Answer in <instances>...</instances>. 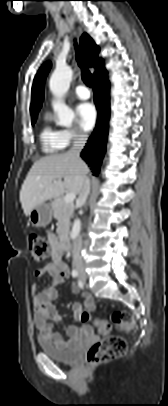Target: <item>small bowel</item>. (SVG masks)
<instances>
[{"label":"small bowel","instance_id":"c3829d8e","mask_svg":"<svg viewBox=\"0 0 168 406\" xmlns=\"http://www.w3.org/2000/svg\"><path fill=\"white\" fill-rule=\"evenodd\" d=\"M49 241L52 244V261L44 267L35 271V276L41 278L48 275L53 280V285L44 290L37 291V285H33V311L35 326L45 339L57 346H68L77 341L82 336H90L93 334L91 325L86 324L82 327L68 326L67 334L70 340L65 341L62 336L54 331L53 323L60 322L61 316L54 305V301L58 297L56 285L65 281L68 277V266L62 260L63 251L56 241L54 235L49 236ZM73 292H79L76 286L71 287ZM95 302L91 295L85 294L83 303L76 302L73 304V311L77 318L81 317L85 310H94Z\"/></svg>","mask_w":168,"mask_h":406}]
</instances>
